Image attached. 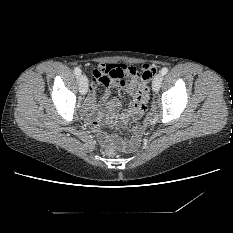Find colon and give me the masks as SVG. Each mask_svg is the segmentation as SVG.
<instances>
[{
	"instance_id": "colon-1",
	"label": "colon",
	"mask_w": 233,
	"mask_h": 233,
	"mask_svg": "<svg viewBox=\"0 0 233 233\" xmlns=\"http://www.w3.org/2000/svg\"><path fill=\"white\" fill-rule=\"evenodd\" d=\"M124 67H125V71L121 74V77L123 79H125V78H137L139 80H145L148 82V81H151L155 75V68L149 64H145L140 68H134V67H130L127 65H124ZM93 77H95L96 79H100L104 82H108V77L107 76H100L99 72L96 70L93 71ZM148 96H149V94L146 90H141L136 95V101L138 103L145 102V101H147ZM104 151L108 155H115L118 153L117 148L114 146H109V147L105 148Z\"/></svg>"
}]
</instances>
